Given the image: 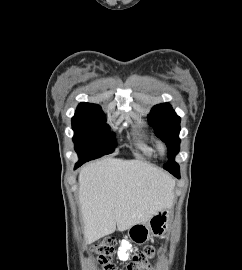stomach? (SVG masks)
Returning <instances> with one entry per match:
<instances>
[{
  "label": "stomach",
  "mask_w": 242,
  "mask_h": 270,
  "mask_svg": "<svg viewBox=\"0 0 242 270\" xmlns=\"http://www.w3.org/2000/svg\"><path fill=\"white\" fill-rule=\"evenodd\" d=\"M171 213L169 209L154 214L146 223H137L128 228L131 242L141 245L151 237H163L170 228Z\"/></svg>",
  "instance_id": "0dacf381"
}]
</instances>
